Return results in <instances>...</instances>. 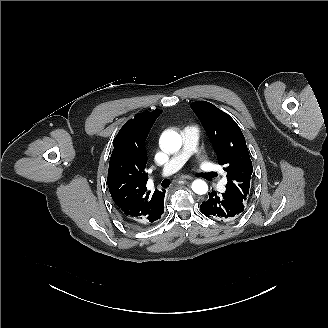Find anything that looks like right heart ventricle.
<instances>
[{"label":"right heart ventricle","mask_w":328,"mask_h":328,"mask_svg":"<svg viewBox=\"0 0 328 328\" xmlns=\"http://www.w3.org/2000/svg\"><path fill=\"white\" fill-rule=\"evenodd\" d=\"M191 127H193V128H195V129H197V127H196V126H194V125H193V126H191Z\"/></svg>","instance_id":"obj_1"}]
</instances>
